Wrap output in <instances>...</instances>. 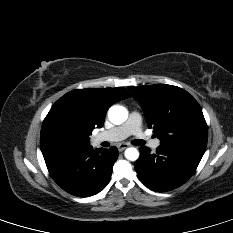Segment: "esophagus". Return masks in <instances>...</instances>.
<instances>
[{
    "label": "esophagus",
    "instance_id": "1",
    "mask_svg": "<svg viewBox=\"0 0 233 233\" xmlns=\"http://www.w3.org/2000/svg\"><path fill=\"white\" fill-rule=\"evenodd\" d=\"M129 145L126 143H121L118 145V150L121 152L123 150H125Z\"/></svg>",
    "mask_w": 233,
    "mask_h": 233
}]
</instances>
